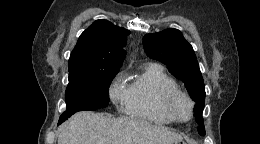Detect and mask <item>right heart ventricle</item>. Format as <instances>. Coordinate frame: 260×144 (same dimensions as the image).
Returning a JSON list of instances; mask_svg holds the SVG:
<instances>
[{
    "instance_id": "obj_1",
    "label": "right heart ventricle",
    "mask_w": 260,
    "mask_h": 144,
    "mask_svg": "<svg viewBox=\"0 0 260 144\" xmlns=\"http://www.w3.org/2000/svg\"><path fill=\"white\" fill-rule=\"evenodd\" d=\"M173 89H178L176 81L160 65L145 64L127 87L124 110L136 119L160 125L172 124L160 108V99L166 91Z\"/></svg>"
}]
</instances>
